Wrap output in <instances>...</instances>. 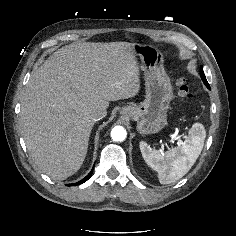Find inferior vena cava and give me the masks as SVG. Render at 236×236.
Returning a JSON list of instances; mask_svg holds the SVG:
<instances>
[{"mask_svg": "<svg viewBox=\"0 0 236 236\" xmlns=\"http://www.w3.org/2000/svg\"><path fill=\"white\" fill-rule=\"evenodd\" d=\"M106 116V111L101 108H95L90 112V118L95 122L103 119Z\"/></svg>", "mask_w": 236, "mask_h": 236, "instance_id": "obj_1", "label": "inferior vena cava"}]
</instances>
